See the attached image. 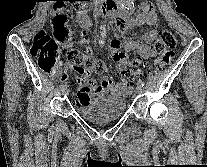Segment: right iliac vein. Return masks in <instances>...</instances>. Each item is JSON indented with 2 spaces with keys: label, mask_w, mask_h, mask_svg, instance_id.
Segmentation results:
<instances>
[{
  "label": "right iliac vein",
  "mask_w": 207,
  "mask_h": 167,
  "mask_svg": "<svg viewBox=\"0 0 207 167\" xmlns=\"http://www.w3.org/2000/svg\"><path fill=\"white\" fill-rule=\"evenodd\" d=\"M63 94L64 95L68 94V89L67 88L63 89Z\"/></svg>",
  "instance_id": "1"
}]
</instances>
